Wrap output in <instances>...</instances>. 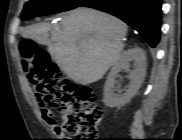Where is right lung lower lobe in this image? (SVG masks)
<instances>
[{"label":"right lung lower lobe","mask_w":182,"mask_h":140,"mask_svg":"<svg viewBox=\"0 0 182 140\" xmlns=\"http://www.w3.org/2000/svg\"><path fill=\"white\" fill-rule=\"evenodd\" d=\"M162 0H86L89 7L112 14L135 29L151 47L160 40Z\"/></svg>","instance_id":"98d812e1"}]
</instances>
